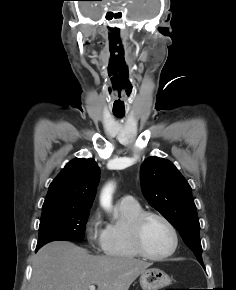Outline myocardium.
Returning <instances> with one entry per match:
<instances>
[{
	"instance_id": "1",
	"label": "myocardium",
	"mask_w": 236,
	"mask_h": 290,
	"mask_svg": "<svg viewBox=\"0 0 236 290\" xmlns=\"http://www.w3.org/2000/svg\"><path fill=\"white\" fill-rule=\"evenodd\" d=\"M149 218H157L161 220L170 230L172 239H173V244L171 249L161 255H154L149 253L143 243V227L145 222ZM130 237L132 244L134 246L135 251L138 253L139 256L149 259V260H154V261H160V260H165L169 257H171L178 248L179 245V236L178 232L175 228V226L172 224V222L163 214L156 212V211H142L139 213L132 221L130 224Z\"/></svg>"
}]
</instances>
